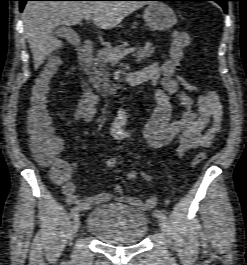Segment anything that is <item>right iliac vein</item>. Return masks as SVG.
<instances>
[{
    "mask_svg": "<svg viewBox=\"0 0 247 265\" xmlns=\"http://www.w3.org/2000/svg\"><path fill=\"white\" fill-rule=\"evenodd\" d=\"M80 227V218L78 215H75L74 219H73V222H72V229H73V232H77L78 229Z\"/></svg>",
    "mask_w": 247,
    "mask_h": 265,
    "instance_id": "obj_1",
    "label": "right iliac vein"
}]
</instances>
